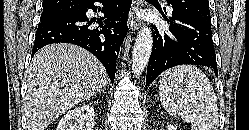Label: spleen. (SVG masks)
Instances as JSON below:
<instances>
[{"label": "spleen", "mask_w": 249, "mask_h": 130, "mask_svg": "<svg viewBox=\"0 0 249 130\" xmlns=\"http://www.w3.org/2000/svg\"><path fill=\"white\" fill-rule=\"evenodd\" d=\"M159 95L164 109L191 123L192 130H217L216 96L208 77L198 67L181 65L163 72Z\"/></svg>", "instance_id": "obj_1"}]
</instances>
